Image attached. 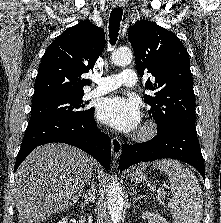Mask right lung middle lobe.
I'll list each match as a JSON object with an SVG mask.
<instances>
[{"label": "right lung middle lobe", "instance_id": "1", "mask_svg": "<svg viewBox=\"0 0 221 223\" xmlns=\"http://www.w3.org/2000/svg\"><path fill=\"white\" fill-rule=\"evenodd\" d=\"M83 94L33 102L29 124L51 117L82 119L93 114L94 108H85V105L82 104Z\"/></svg>", "mask_w": 221, "mask_h": 223}]
</instances>
